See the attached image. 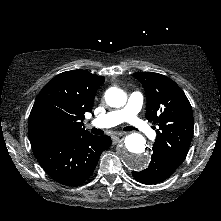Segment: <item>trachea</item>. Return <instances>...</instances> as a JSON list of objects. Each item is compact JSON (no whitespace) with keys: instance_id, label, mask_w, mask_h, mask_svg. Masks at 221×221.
<instances>
[{"instance_id":"obj_1","label":"trachea","mask_w":221,"mask_h":221,"mask_svg":"<svg viewBox=\"0 0 221 221\" xmlns=\"http://www.w3.org/2000/svg\"><path fill=\"white\" fill-rule=\"evenodd\" d=\"M124 130L125 131H132V130H137V129L134 127L128 126V127H125ZM91 132L95 135H102L104 133L103 130L97 129V128L91 129Z\"/></svg>"}]
</instances>
